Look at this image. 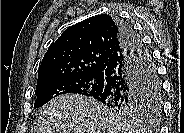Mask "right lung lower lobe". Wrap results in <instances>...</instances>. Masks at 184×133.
Returning <instances> with one entry per match:
<instances>
[{
  "instance_id": "1",
  "label": "right lung lower lobe",
  "mask_w": 184,
  "mask_h": 133,
  "mask_svg": "<svg viewBox=\"0 0 184 133\" xmlns=\"http://www.w3.org/2000/svg\"><path fill=\"white\" fill-rule=\"evenodd\" d=\"M117 23L121 31L119 49L104 70L101 93L94 97L106 106L141 101L151 87L150 54L129 25L119 19Z\"/></svg>"
}]
</instances>
